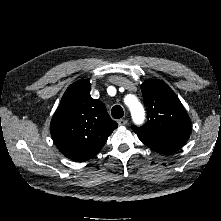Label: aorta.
Returning a JSON list of instances; mask_svg holds the SVG:
<instances>
[{"label": "aorta", "mask_w": 221, "mask_h": 221, "mask_svg": "<svg viewBox=\"0 0 221 221\" xmlns=\"http://www.w3.org/2000/svg\"><path fill=\"white\" fill-rule=\"evenodd\" d=\"M125 102L130 109L133 122L137 125L142 124L145 121V110L142 104L132 95L127 96Z\"/></svg>", "instance_id": "762f6f07"}]
</instances>
